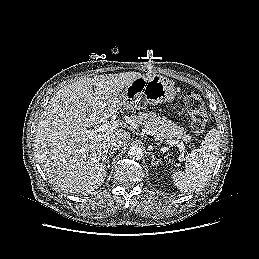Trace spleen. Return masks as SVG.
<instances>
[{
  "label": "spleen",
  "mask_w": 259,
  "mask_h": 259,
  "mask_svg": "<svg viewBox=\"0 0 259 259\" xmlns=\"http://www.w3.org/2000/svg\"><path fill=\"white\" fill-rule=\"evenodd\" d=\"M219 145V131L211 129L206 134L204 145L187 155L185 172L173 173V183L182 193L197 190L210 180L219 157Z\"/></svg>",
  "instance_id": "spleen-1"
}]
</instances>
